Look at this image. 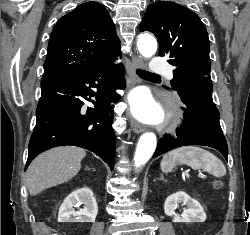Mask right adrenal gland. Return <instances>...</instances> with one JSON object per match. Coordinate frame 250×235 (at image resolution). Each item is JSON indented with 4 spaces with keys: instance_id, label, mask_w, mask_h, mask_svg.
Listing matches in <instances>:
<instances>
[{
    "instance_id": "right-adrenal-gland-1",
    "label": "right adrenal gland",
    "mask_w": 250,
    "mask_h": 235,
    "mask_svg": "<svg viewBox=\"0 0 250 235\" xmlns=\"http://www.w3.org/2000/svg\"><path fill=\"white\" fill-rule=\"evenodd\" d=\"M86 170H91L89 167H86Z\"/></svg>"
}]
</instances>
